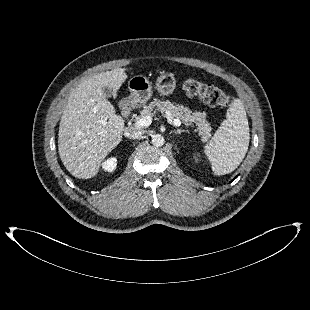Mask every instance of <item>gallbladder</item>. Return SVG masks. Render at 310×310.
Instances as JSON below:
<instances>
[{"label": "gallbladder", "mask_w": 310, "mask_h": 310, "mask_svg": "<svg viewBox=\"0 0 310 310\" xmlns=\"http://www.w3.org/2000/svg\"><path fill=\"white\" fill-rule=\"evenodd\" d=\"M102 91L107 98H110L112 95H114V91L108 87H103Z\"/></svg>", "instance_id": "obj_1"}]
</instances>
